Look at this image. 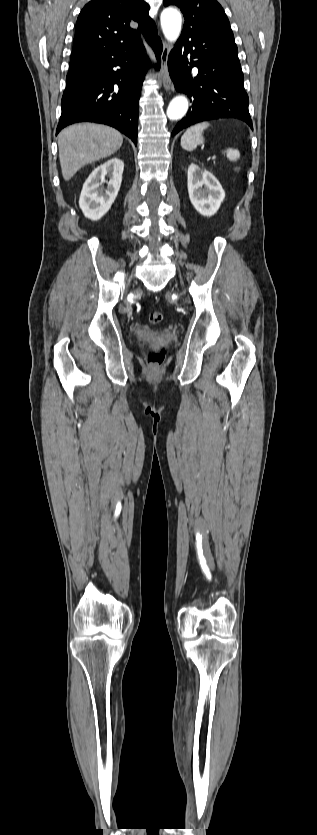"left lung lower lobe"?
Wrapping results in <instances>:
<instances>
[{"mask_svg": "<svg viewBox=\"0 0 317 835\" xmlns=\"http://www.w3.org/2000/svg\"><path fill=\"white\" fill-rule=\"evenodd\" d=\"M194 66L198 68L196 77L191 76ZM168 69L175 89L192 102L191 112L176 125L172 136L195 123L219 118L242 120L253 130L233 40L211 32L180 36L169 55Z\"/></svg>", "mask_w": 317, "mask_h": 835, "instance_id": "0a47b994", "label": "left lung lower lobe"}]
</instances>
